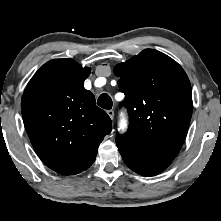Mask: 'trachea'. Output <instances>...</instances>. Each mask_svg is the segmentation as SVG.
<instances>
[{"label":"trachea","instance_id":"1","mask_svg":"<svg viewBox=\"0 0 221 221\" xmlns=\"http://www.w3.org/2000/svg\"><path fill=\"white\" fill-rule=\"evenodd\" d=\"M97 104L103 109H111L112 99L107 93H103L99 96Z\"/></svg>","mask_w":221,"mask_h":221}]
</instances>
